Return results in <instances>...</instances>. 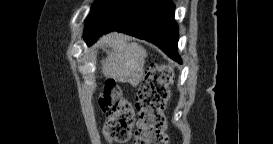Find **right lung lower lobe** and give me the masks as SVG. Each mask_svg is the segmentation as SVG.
Here are the masks:
<instances>
[{
    "instance_id": "1",
    "label": "right lung lower lobe",
    "mask_w": 273,
    "mask_h": 144,
    "mask_svg": "<svg viewBox=\"0 0 273 144\" xmlns=\"http://www.w3.org/2000/svg\"><path fill=\"white\" fill-rule=\"evenodd\" d=\"M174 9L171 0H117L84 39L91 45L105 33L123 32L155 44L181 63L177 52L179 37Z\"/></svg>"
}]
</instances>
